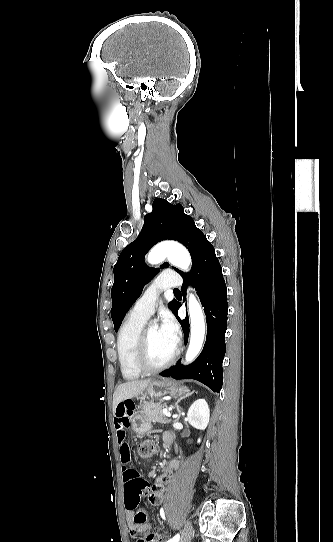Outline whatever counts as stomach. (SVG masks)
Listing matches in <instances>:
<instances>
[{
    "mask_svg": "<svg viewBox=\"0 0 333 542\" xmlns=\"http://www.w3.org/2000/svg\"><path fill=\"white\" fill-rule=\"evenodd\" d=\"M188 392L189 388L184 386V384H180V382H174V380H154V382H151L148 388H146V392L143 396L162 398V396H166V394H170V396H184V394H188ZM123 400L128 399L125 398ZM137 420H141V418L136 416V420H132L131 422V426L133 430H135L132 437L134 440L139 441L148 435V430H150L151 426L150 424H147V422H137Z\"/></svg>",
    "mask_w": 333,
    "mask_h": 542,
    "instance_id": "stomach-1",
    "label": "stomach"
}]
</instances>
